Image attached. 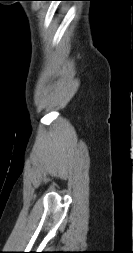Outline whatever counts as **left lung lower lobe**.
<instances>
[{"mask_svg":"<svg viewBox=\"0 0 133 253\" xmlns=\"http://www.w3.org/2000/svg\"><path fill=\"white\" fill-rule=\"evenodd\" d=\"M60 1H69V0H60Z\"/></svg>","mask_w":133,"mask_h":253,"instance_id":"obj_1","label":"left lung lower lobe"}]
</instances>
